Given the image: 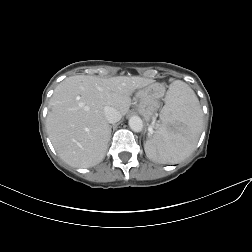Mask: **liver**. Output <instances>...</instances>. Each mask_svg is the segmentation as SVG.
Segmentation results:
<instances>
[{
    "label": "liver",
    "instance_id": "obj_1",
    "mask_svg": "<svg viewBox=\"0 0 252 252\" xmlns=\"http://www.w3.org/2000/svg\"><path fill=\"white\" fill-rule=\"evenodd\" d=\"M153 82L139 76L76 75L58 84L49 102L46 129L60 158L78 168L100 163L111 134L104 107L126 115L134 91Z\"/></svg>",
    "mask_w": 252,
    "mask_h": 252
}]
</instances>
